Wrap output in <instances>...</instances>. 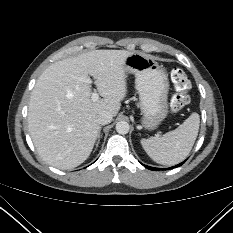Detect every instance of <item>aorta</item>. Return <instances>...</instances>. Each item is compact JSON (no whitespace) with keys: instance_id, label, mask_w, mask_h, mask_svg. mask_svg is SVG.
I'll use <instances>...</instances> for the list:
<instances>
[{"instance_id":"obj_1","label":"aorta","mask_w":233,"mask_h":233,"mask_svg":"<svg viewBox=\"0 0 233 233\" xmlns=\"http://www.w3.org/2000/svg\"><path fill=\"white\" fill-rule=\"evenodd\" d=\"M129 129H130V126L126 121H120V122H117L116 124V131L119 134H122V135L127 134L129 132Z\"/></svg>"}]
</instances>
